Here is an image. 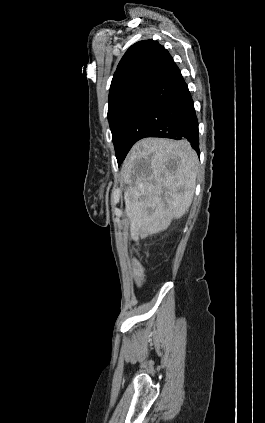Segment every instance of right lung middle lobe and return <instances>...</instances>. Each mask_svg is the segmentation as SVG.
Here are the masks:
<instances>
[{
  "instance_id": "obj_1",
  "label": "right lung middle lobe",
  "mask_w": 265,
  "mask_h": 423,
  "mask_svg": "<svg viewBox=\"0 0 265 423\" xmlns=\"http://www.w3.org/2000/svg\"><path fill=\"white\" fill-rule=\"evenodd\" d=\"M147 94L148 92L131 93L115 101L108 107V121L112 132V141L115 147L118 166H120L126 156L120 145L123 130Z\"/></svg>"
}]
</instances>
